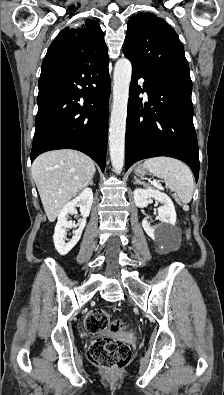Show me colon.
Wrapping results in <instances>:
<instances>
[{
  "label": "colon",
  "instance_id": "1",
  "mask_svg": "<svg viewBox=\"0 0 224 395\" xmlns=\"http://www.w3.org/2000/svg\"><path fill=\"white\" fill-rule=\"evenodd\" d=\"M86 330L91 334H99L106 329L116 332L123 328L119 321H111L106 311L94 309L84 320ZM90 360L97 366L116 370L125 367L131 358L130 346L114 338H98L89 350Z\"/></svg>",
  "mask_w": 224,
  "mask_h": 395
}]
</instances>
